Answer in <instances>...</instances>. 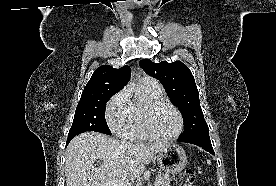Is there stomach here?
Wrapping results in <instances>:
<instances>
[{"mask_svg":"<svg viewBox=\"0 0 276 186\" xmlns=\"http://www.w3.org/2000/svg\"><path fill=\"white\" fill-rule=\"evenodd\" d=\"M157 162L163 171L167 173H179L187 164V157L184 149L176 144L168 146L158 153Z\"/></svg>","mask_w":276,"mask_h":186,"instance_id":"obj_1","label":"stomach"}]
</instances>
